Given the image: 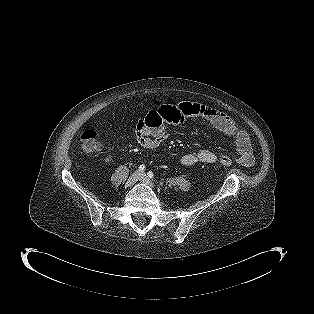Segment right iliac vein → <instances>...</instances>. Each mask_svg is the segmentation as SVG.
Listing matches in <instances>:
<instances>
[{
	"mask_svg": "<svg viewBox=\"0 0 314 314\" xmlns=\"http://www.w3.org/2000/svg\"><path fill=\"white\" fill-rule=\"evenodd\" d=\"M138 178H139V172H134V173L128 178V180H127V182H126V186H127V187L133 186V185L136 183V181L138 180Z\"/></svg>",
	"mask_w": 314,
	"mask_h": 314,
	"instance_id": "63e3f726",
	"label": "right iliac vein"
}]
</instances>
